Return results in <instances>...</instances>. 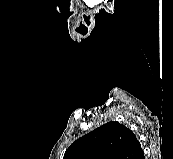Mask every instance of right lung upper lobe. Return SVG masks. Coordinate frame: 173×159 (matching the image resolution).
Wrapping results in <instances>:
<instances>
[{
    "instance_id": "1",
    "label": "right lung upper lobe",
    "mask_w": 173,
    "mask_h": 159,
    "mask_svg": "<svg viewBox=\"0 0 173 159\" xmlns=\"http://www.w3.org/2000/svg\"><path fill=\"white\" fill-rule=\"evenodd\" d=\"M63 159H144V152L135 134L115 121L76 140Z\"/></svg>"
}]
</instances>
